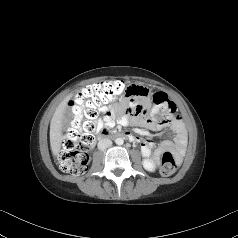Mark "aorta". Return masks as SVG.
<instances>
[{
  "label": "aorta",
  "mask_w": 238,
  "mask_h": 238,
  "mask_svg": "<svg viewBox=\"0 0 238 238\" xmlns=\"http://www.w3.org/2000/svg\"><path fill=\"white\" fill-rule=\"evenodd\" d=\"M115 143L117 145H122L124 143V140H123V138H116Z\"/></svg>",
  "instance_id": "aorta-1"
}]
</instances>
